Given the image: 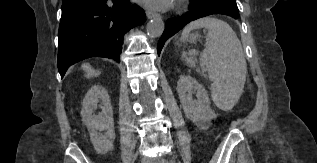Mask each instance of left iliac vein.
Here are the masks:
<instances>
[{
  "instance_id": "obj_1",
  "label": "left iliac vein",
  "mask_w": 317,
  "mask_h": 163,
  "mask_svg": "<svg viewBox=\"0 0 317 163\" xmlns=\"http://www.w3.org/2000/svg\"><path fill=\"white\" fill-rule=\"evenodd\" d=\"M154 163H161L159 161H154ZM168 163H173L172 161H169Z\"/></svg>"
}]
</instances>
